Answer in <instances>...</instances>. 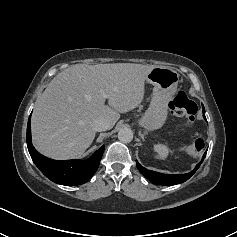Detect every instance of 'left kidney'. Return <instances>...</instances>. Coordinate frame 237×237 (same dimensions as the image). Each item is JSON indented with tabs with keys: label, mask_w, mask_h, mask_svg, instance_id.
I'll return each mask as SVG.
<instances>
[{
	"label": "left kidney",
	"mask_w": 237,
	"mask_h": 237,
	"mask_svg": "<svg viewBox=\"0 0 237 237\" xmlns=\"http://www.w3.org/2000/svg\"><path fill=\"white\" fill-rule=\"evenodd\" d=\"M154 150H155V152H157L158 156L161 159H165L169 154L168 147L166 145H163V144H155L154 145Z\"/></svg>",
	"instance_id": "obj_1"
}]
</instances>
